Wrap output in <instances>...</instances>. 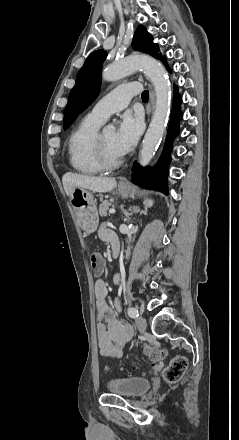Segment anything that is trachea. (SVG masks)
<instances>
[{"mask_svg": "<svg viewBox=\"0 0 239 440\" xmlns=\"http://www.w3.org/2000/svg\"><path fill=\"white\" fill-rule=\"evenodd\" d=\"M141 98L143 101H148L149 99V92L147 90H144V92H142Z\"/></svg>", "mask_w": 239, "mask_h": 440, "instance_id": "3493384b", "label": "trachea"}]
</instances>
